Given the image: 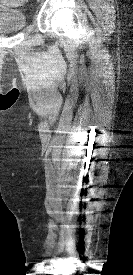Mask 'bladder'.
<instances>
[{"label": "bladder", "mask_w": 133, "mask_h": 275, "mask_svg": "<svg viewBox=\"0 0 133 275\" xmlns=\"http://www.w3.org/2000/svg\"><path fill=\"white\" fill-rule=\"evenodd\" d=\"M27 23V15L22 9L0 4V32L20 31Z\"/></svg>", "instance_id": "1"}]
</instances>
